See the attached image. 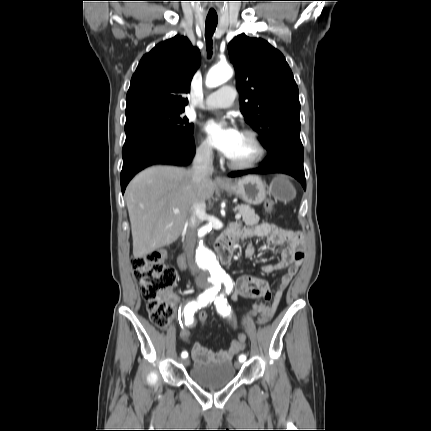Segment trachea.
Returning <instances> with one entry per match:
<instances>
[{"label":"trachea","mask_w":431,"mask_h":431,"mask_svg":"<svg viewBox=\"0 0 431 431\" xmlns=\"http://www.w3.org/2000/svg\"><path fill=\"white\" fill-rule=\"evenodd\" d=\"M218 18L217 17H207L205 23V38H206V47L208 52V58L212 55V36L215 32L217 26Z\"/></svg>","instance_id":"3493384b"}]
</instances>
